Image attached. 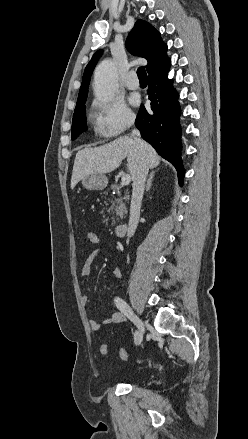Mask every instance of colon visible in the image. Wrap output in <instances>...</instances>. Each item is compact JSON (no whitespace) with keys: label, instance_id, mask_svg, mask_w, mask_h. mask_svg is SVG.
I'll use <instances>...</instances> for the list:
<instances>
[{"label":"colon","instance_id":"colon-1","mask_svg":"<svg viewBox=\"0 0 248 439\" xmlns=\"http://www.w3.org/2000/svg\"><path fill=\"white\" fill-rule=\"evenodd\" d=\"M87 240H88L89 244L92 245V246H98L100 244V242H101L100 235L96 231H89L87 233ZM108 351H109V348H108L107 344L101 345L100 352H101L102 355H107ZM119 357L122 360H128L129 359V354H128V352L125 349L120 348L119 349Z\"/></svg>","mask_w":248,"mask_h":439}]
</instances>
